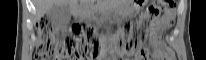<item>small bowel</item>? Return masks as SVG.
Masks as SVG:
<instances>
[{
  "label": "small bowel",
  "instance_id": "small-bowel-1",
  "mask_svg": "<svg viewBox=\"0 0 206 60\" xmlns=\"http://www.w3.org/2000/svg\"><path fill=\"white\" fill-rule=\"evenodd\" d=\"M163 30V27L158 26L156 32L160 33ZM142 58H137L135 60H141ZM152 59L154 60H173V55L171 52L166 49L159 40H156L154 43V49L152 53Z\"/></svg>",
  "mask_w": 206,
  "mask_h": 60
}]
</instances>
